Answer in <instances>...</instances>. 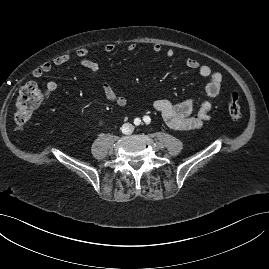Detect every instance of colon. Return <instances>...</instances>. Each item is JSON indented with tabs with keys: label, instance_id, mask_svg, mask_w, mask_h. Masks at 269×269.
<instances>
[{
	"label": "colon",
	"instance_id": "obj_1",
	"mask_svg": "<svg viewBox=\"0 0 269 269\" xmlns=\"http://www.w3.org/2000/svg\"><path fill=\"white\" fill-rule=\"evenodd\" d=\"M228 112L233 120L241 118V106L238 92L231 89L228 93ZM44 94L35 82H26L18 91L14 103L13 120L18 129L25 127L31 120L34 111L40 107Z\"/></svg>",
	"mask_w": 269,
	"mask_h": 269
}]
</instances>
